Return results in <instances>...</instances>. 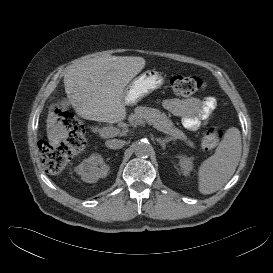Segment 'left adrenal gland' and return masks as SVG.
I'll return each instance as SVG.
<instances>
[{
	"label": "left adrenal gland",
	"instance_id": "left-adrenal-gland-1",
	"mask_svg": "<svg viewBox=\"0 0 273 273\" xmlns=\"http://www.w3.org/2000/svg\"><path fill=\"white\" fill-rule=\"evenodd\" d=\"M171 138H156V141L162 146V149L165 150L166 144L169 143Z\"/></svg>",
	"mask_w": 273,
	"mask_h": 273
}]
</instances>
